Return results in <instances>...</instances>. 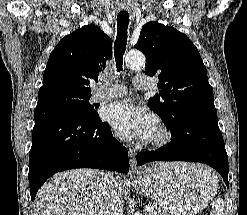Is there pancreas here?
Segmentation results:
<instances>
[{"instance_id":"obj_1","label":"pancreas","mask_w":247,"mask_h":215,"mask_svg":"<svg viewBox=\"0 0 247 215\" xmlns=\"http://www.w3.org/2000/svg\"><path fill=\"white\" fill-rule=\"evenodd\" d=\"M146 215H148L146 213ZM151 215H169L166 211H154Z\"/></svg>"}]
</instances>
